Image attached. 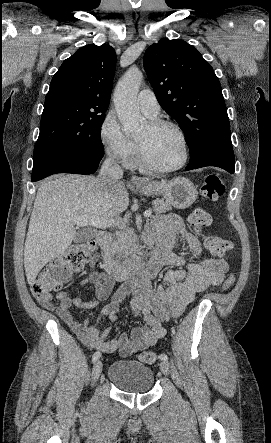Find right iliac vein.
Here are the masks:
<instances>
[{
    "label": "right iliac vein",
    "instance_id": "obj_1",
    "mask_svg": "<svg viewBox=\"0 0 271 443\" xmlns=\"http://www.w3.org/2000/svg\"><path fill=\"white\" fill-rule=\"evenodd\" d=\"M102 368H103L102 362L100 360L96 361L94 366H93L92 374H91V383H92V385H94V383L100 377L101 372H102Z\"/></svg>",
    "mask_w": 271,
    "mask_h": 443
}]
</instances>
